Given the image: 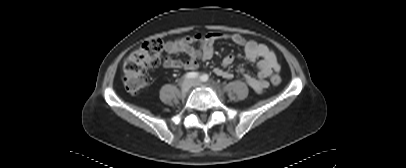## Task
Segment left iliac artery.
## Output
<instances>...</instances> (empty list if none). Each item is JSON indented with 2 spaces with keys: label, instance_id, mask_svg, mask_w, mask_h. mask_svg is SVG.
Returning <instances> with one entry per match:
<instances>
[{
  "label": "left iliac artery",
  "instance_id": "obj_1",
  "mask_svg": "<svg viewBox=\"0 0 406 168\" xmlns=\"http://www.w3.org/2000/svg\"><path fill=\"white\" fill-rule=\"evenodd\" d=\"M208 79H209V77H208L207 74H204V75H202V76L200 77V80H201L202 82H206V81H208Z\"/></svg>",
  "mask_w": 406,
  "mask_h": 168
}]
</instances>
